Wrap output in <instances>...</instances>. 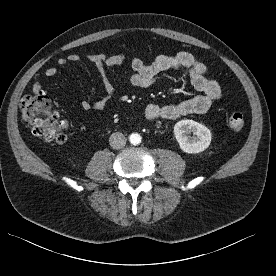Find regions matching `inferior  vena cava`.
Masks as SVG:
<instances>
[{"label": "inferior vena cava", "instance_id": "inferior-vena-cava-1", "mask_svg": "<svg viewBox=\"0 0 276 276\" xmlns=\"http://www.w3.org/2000/svg\"><path fill=\"white\" fill-rule=\"evenodd\" d=\"M126 137L120 133L116 132L113 133L109 138V144L113 149H121L126 145Z\"/></svg>", "mask_w": 276, "mask_h": 276}]
</instances>
